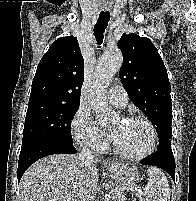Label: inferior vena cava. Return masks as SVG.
<instances>
[{
    "label": "inferior vena cava",
    "instance_id": "obj_1",
    "mask_svg": "<svg viewBox=\"0 0 196 201\" xmlns=\"http://www.w3.org/2000/svg\"><path fill=\"white\" fill-rule=\"evenodd\" d=\"M78 158L83 162H93V160H94L93 153L91 152V150H89L86 147H83L80 150V152L78 154Z\"/></svg>",
    "mask_w": 196,
    "mask_h": 201
}]
</instances>
